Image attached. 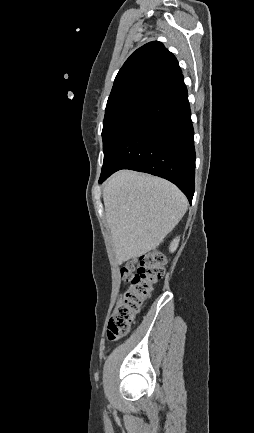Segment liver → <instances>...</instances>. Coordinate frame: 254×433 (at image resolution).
Wrapping results in <instances>:
<instances>
[{
    "instance_id": "obj_1",
    "label": "liver",
    "mask_w": 254,
    "mask_h": 433,
    "mask_svg": "<svg viewBox=\"0 0 254 433\" xmlns=\"http://www.w3.org/2000/svg\"><path fill=\"white\" fill-rule=\"evenodd\" d=\"M103 199L119 265L156 249L188 205L172 183L128 170L105 183Z\"/></svg>"
}]
</instances>
